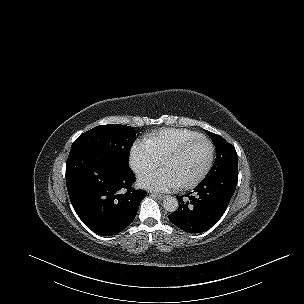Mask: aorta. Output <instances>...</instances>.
<instances>
[{
	"label": "aorta",
	"instance_id": "obj_1",
	"mask_svg": "<svg viewBox=\"0 0 304 304\" xmlns=\"http://www.w3.org/2000/svg\"><path fill=\"white\" fill-rule=\"evenodd\" d=\"M163 207L166 211L174 213L179 208V202L176 197L168 196L163 200Z\"/></svg>",
	"mask_w": 304,
	"mask_h": 304
}]
</instances>
